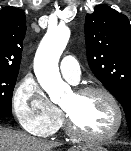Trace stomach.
Segmentation results:
<instances>
[{
  "label": "stomach",
  "mask_w": 131,
  "mask_h": 151,
  "mask_svg": "<svg viewBox=\"0 0 131 151\" xmlns=\"http://www.w3.org/2000/svg\"><path fill=\"white\" fill-rule=\"evenodd\" d=\"M81 151H107V149L99 145H92V146L84 147V149Z\"/></svg>",
  "instance_id": "obj_1"
}]
</instances>
